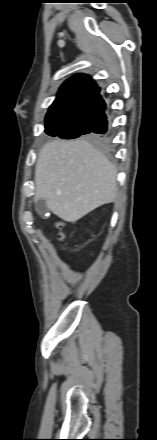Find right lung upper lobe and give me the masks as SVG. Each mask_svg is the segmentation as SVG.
<instances>
[{
	"mask_svg": "<svg viewBox=\"0 0 157 440\" xmlns=\"http://www.w3.org/2000/svg\"><path fill=\"white\" fill-rule=\"evenodd\" d=\"M105 109L100 88L89 75L77 74L60 87L45 120H77L91 127Z\"/></svg>",
	"mask_w": 157,
	"mask_h": 440,
	"instance_id": "cb5924a9",
	"label": "right lung upper lobe"
}]
</instances>
